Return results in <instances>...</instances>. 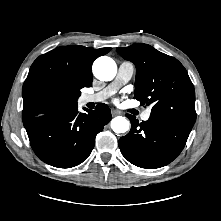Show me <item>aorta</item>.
<instances>
[{
	"instance_id": "aorta-1",
	"label": "aorta",
	"mask_w": 221,
	"mask_h": 221,
	"mask_svg": "<svg viewBox=\"0 0 221 221\" xmlns=\"http://www.w3.org/2000/svg\"><path fill=\"white\" fill-rule=\"evenodd\" d=\"M95 76L102 81H111L117 72V66L113 59L107 56L99 57L93 64ZM111 128L115 133H125L130 128V122L122 116L111 120Z\"/></svg>"
}]
</instances>
